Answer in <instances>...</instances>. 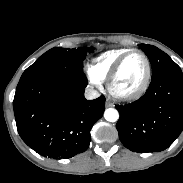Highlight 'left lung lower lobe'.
Returning a JSON list of instances; mask_svg holds the SVG:
<instances>
[{"label": "left lung lower lobe", "instance_id": "obj_1", "mask_svg": "<svg viewBox=\"0 0 183 183\" xmlns=\"http://www.w3.org/2000/svg\"><path fill=\"white\" fill-rule=\"evenodd\" d=\"M119 138L131 151L160 152L183 130V74L180 68L153 77L135 102L116 106Z\"/></svg>", "mask_w": 183, "mask_h": 183}]
</instances>
